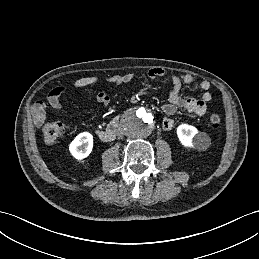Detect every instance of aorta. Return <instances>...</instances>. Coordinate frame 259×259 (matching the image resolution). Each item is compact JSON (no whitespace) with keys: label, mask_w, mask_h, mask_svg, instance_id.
Returning a JSON list of instances; mask_svg holds the SVG:
<instances>
[{"label":"aorta","mask_w":259,"mask_h":259,"mask_svg":"<svg viewBox=\"0 0 259 259\" xmlns=\"http://www.w3.org/2000/svg\"><path fill=\"white\" fill-rule=\"evenodd\" d=\"M155 126L153 113L147 108H138L125 115L121 127L130 139H144L148 137Z\"/></svg>","instance_id":"1"}]
</instances>
